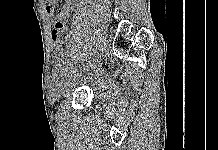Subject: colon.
Returning a JSON list of instances; mask_svg holds the SVG:
<instances>
[{
	"instance_id": "5ec220e1",
	"label": "colon",
	"mask_w": 218,
	"mask_h": 150,
	"mask_svg": "<svg viewBox=\"0 0 218 150\" xmlns=\"http://www.w3.org/2000/svg\"><path fill=\"white\" fill-rule=\"evenodd\" d=\"M53 38V55L57 57L60 55L65 47L67 35L64 29L54 30L52 33Z\"/></svg>"
}]
</instances>
